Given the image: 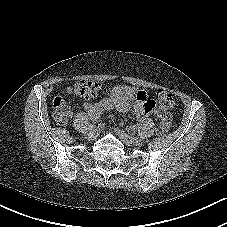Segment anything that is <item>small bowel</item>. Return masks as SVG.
I'll list each match as a JSON object with an SVG mask.
<instances>
[{
  "label": "small bowel",
  "mask_w": 227,
  "mask_h": 227,
  "mask_svg": "<svg viewBox=\"0 0 227 227\" xmlns=\"http://www.w3.org/2000/svg\"><path fill=\"white\" fill-rule=\"evenodd\" d=\"M84 108L92 118L112 108L121 112H127L132 108L141 119L150 114L161 116L154 101L149 99L144 92L125 86L114 87L108 97L93 103H86Z\"/></svg>",
  "instance_id": "c3829d8e"
}]
</instances>
